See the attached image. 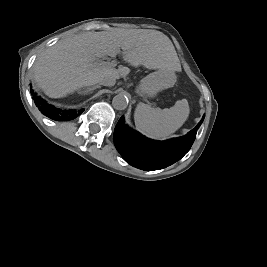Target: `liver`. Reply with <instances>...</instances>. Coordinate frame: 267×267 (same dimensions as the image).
<instances>
[{
    "label": "liver",
    "instance_id": "1",
    "mask_svg": "<svg viewBox=\"0 0 267 267\" xmlns=\"http://www.w3.org/2000/svg\"><path fill=\"white\" fill-rule=\"evenodd\" d=\"M120 49L131 66L147 69L180 70V61L171 40L156 30L86 32L58 41L37 57L32 70L38 86L51 98H62L83 86H92L102 77L115 79L129 74L127 67L99 65L104 56L115 57Z\"/></svg>",
    "mask_w": 267,
    "mask_h": 267
}]
</instances>
